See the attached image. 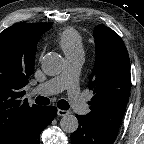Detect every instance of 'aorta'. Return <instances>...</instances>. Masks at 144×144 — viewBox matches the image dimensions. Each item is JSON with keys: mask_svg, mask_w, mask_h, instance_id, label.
Listing matches in <instances>:
<instances>
[{"mask_svg": "<svg viewBox=\"0 0 144 144\" xmlns=\"http://www.w3.org/2000/svg\"><path fill=\"white\" fill-rule=\"evenodd\" d=\"M42 70L50 76L58 75L63 70V58L55 52L47 53L42 59ZM79 126L78 119L72 114H66L60 121L61 129L66 133H73Z\"/></svg>", "mask_w": 144, "mask_h": 144, "instance_id": "762f6f07", "label": "aorta"}]
</instances>
